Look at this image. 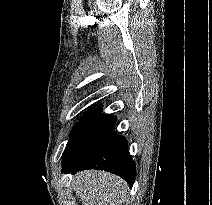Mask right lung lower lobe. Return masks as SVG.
I'll return each mask as SVG.
<instances>
[{
	"instance_id": "98d812e1",
	"label": "right lung lower lobe",
	"mask_w": 212,
	"mask_h": 205,
	"mask_svg": "<svg viewBox=\"0 0 212 205\" xmlns=\"http://www.w3.org/2000/svg\"><path fill=\"white\" fill-rule=\"evenodd\" d=\"M101 110L99 106L63 154L62 172L105 170L122 177L132 187L136 167L129 155L127 141L113 130L116 119Z\"/></svg>"
}]
</instances>
